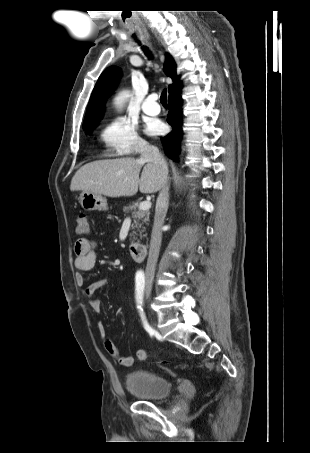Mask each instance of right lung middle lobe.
Masks as SVG:
<instances>
[{"label": "right lung middle lobe", "mask_w": 310, "mask_h": 453, "mask_svg": "<svg viewBox=\"0 0 310 453\" xmlns=\"http://www.w3.org/2000/svg\"><path fill=\"white\" fill-rule=\"evenodd\" d=\"M95 125L93 126H87V127H83V129L86 131V133H89L90 130L94 127Z\"/></svg>", "instance_id": "1"}]
</instances>
